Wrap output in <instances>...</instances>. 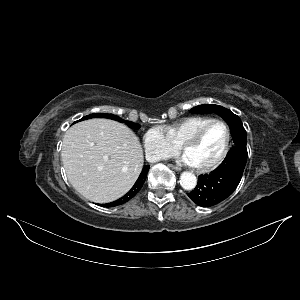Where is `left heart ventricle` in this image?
I'll return each mask as SVG.
<instances>
[{"mask_svg":"<svg viewBox=\"0 0 300 300\" xmlns=\"http://www.w3.org/2000/svg\"><path fill=\"white\" fill-rule=\"evenodd\" d=\"M226 129L223 125H212L194 146L185 154L193 165H206L216 160L222 153L226 143Z\"/></svg>","mask_w":300,"mask_h":300,"instance_id":"obj_1","label":"left heart ventricle"}]
</instances>
